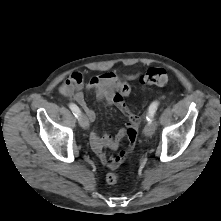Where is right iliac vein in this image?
Masks as SVG:
<instances>
[{"label": "right iliac vein", "instance_id": "63e3f726", "mask_svg": "<svg viewBox=\"0 0 221 221\" xmlns=\"http://www.w3.org/2000/svg\"><path fill=\"white\" fill-rule=\"evenodd\" d=\"M79 124L81 125L82 128L88 129L89 128V120L85 114H80L79 118Z\"/></svg>", "mask_w": 221, "mask_h": 221}]
</instances>
